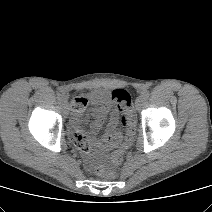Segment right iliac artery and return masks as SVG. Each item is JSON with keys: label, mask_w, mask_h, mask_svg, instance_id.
<instances>
[{"label": "right iliac artery", "mask_w": 212, "mask_h": 212, "mask_svg": "<svg viewBox=\"0 0 212 212\" xmlns=\"http://www.w3.org/2000/svg\"><path fill=\"white\" fill-rule=\"evenodd\" d=\"M57 98L59 102H62V100L64 99V96L62 93H57Z\"/></svg>", "instance_id": "1"}]
</instances>
